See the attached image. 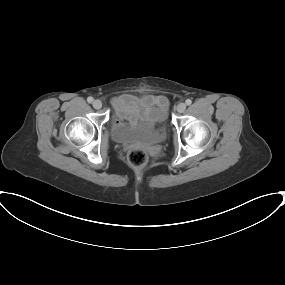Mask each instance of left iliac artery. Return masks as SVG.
Returning a JSON list of instances; mask_svg holds the SVG:
<instances>
[{"label": "left iliac artery", "instance_id": "left-iliac-artery-1", "mask_svg": "<svg viewBox=\"0 0 285 285\" xmlns=\"http://www.w3.org/2000/svg\"><path fill=\"white\" fill-rule=\"evenodd\" d=\"M185 103H186V105H191L192 101H191L190 99H187V100L185 101Z\"/></svg>", "mask_w": 285, "mask_h": 285}]
</instances>
